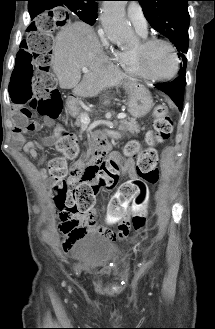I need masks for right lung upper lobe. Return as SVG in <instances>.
I'll return each mask as SVG.
<instances>
[{
    "instance_id": "right-lung-upper-lobe-1",
    "label": "right lung upper lobe",
    "mask_w": 215,
    "mask_h": 329,
    "mask_svg": "<svg viewBox=\"0 0 215 329\" xmlns=\"http://www.w3.org/2000/svg\"><path fill=\"white\" fill-rule=\"evenodd\" d=\"M28 1H37L42 7V12L44 10H49L54 7H63L64 2L72 1L84 4L87 8L90 9V13L96 17L97 13V3L98 0H28ZM40 14V13H39Z\"/></svg>"
}]
</instances>
